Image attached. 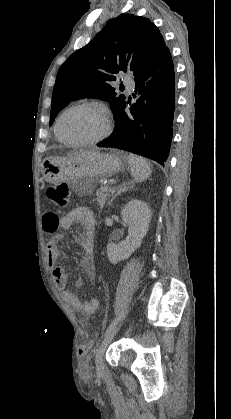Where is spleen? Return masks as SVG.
<instances>
[{"instance_id":"1","label":"spleen","mask_w":231,"mask_h":419,"mask_svg":"<svg viewBox=\"0 0 231 419\" xmlns=\"http://www.w3.org/2000/svg\"><path fill=\"white\" fill-rule=\"evenodd\" d=\"M128 161L130 164L131 174L136 182H142L151 175V164L145 158L129 154Z\"/></svg>"}]
</instances>
